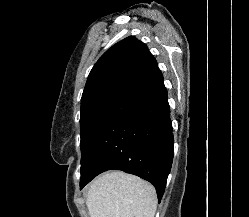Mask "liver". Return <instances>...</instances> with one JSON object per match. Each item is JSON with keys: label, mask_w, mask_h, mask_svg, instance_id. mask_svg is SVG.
Instances as JSON below:
<instances>
[{"label": "liver", "mask_w": 249, "mask_h": 217, "mask_svg": "<svg viewBox=\"0 0 249 217\" xmlns=\"http://www.w3.org/2000/svg\"><path fill=\"white\" fill-rule=\"evenodd\" d=\"M90 217H154L155 188L141 178L120 171L93 181L86 195Z\"/></svg>", "instance_id": "liver-1"}]
</instances>
